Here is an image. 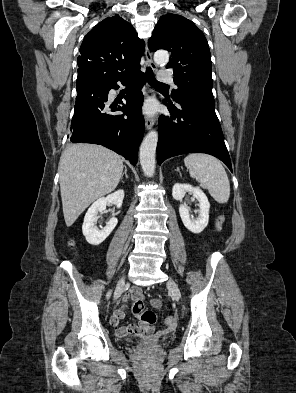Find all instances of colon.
I'll return each instance as SVG.
<instances>
[{
	"mask_svg": "<svg viewBox=\"0 0 296 393\" xmlns=\"http://www.w3.org/2000/svg\"><path fill=\"white\" fill-rule=\"evenodd\" d=\"M223 222V218L220 217L217 222L218 228L221 226ZM133 312L134 314L144 323L148 325H153L156 323V314L152 310H148L145 308L142 299H135L133 300ZM165 325L168 328H172L176 325L175 319L169 317L165 319Z\"/></svg>",
	"mask_w": 296,
	"mask_h": 393,
	"instance_id": "colon-1",
	"label": "colon"
}]
</instances>
